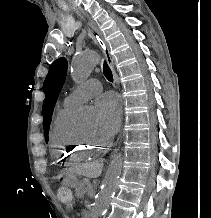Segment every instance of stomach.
Here are the masks:
<instances>
[{"label": "stomach", "mask_w": 211, "mask_h": 218, "mask_svg": "<svg viewBox=\"0 0 211 218\" xmlns=\"http://www.w3.org/2000/svg\"><path fill=\"white\" fill-rule=\"evenodd\" d=\"M64 184L75 188L78 186L79 182H78V178L76 174H67L64 176Z\"/></svg>", "instance_id": "obj_1"}]
</instances>
